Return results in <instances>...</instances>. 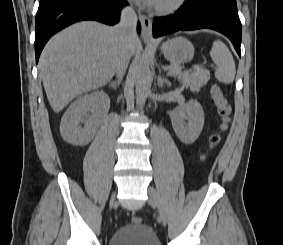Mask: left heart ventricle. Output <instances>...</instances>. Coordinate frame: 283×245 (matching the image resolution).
Returning <instances> with one entry per match:
<instances>
[{
  "label": "left heart ventricle",
  "instance_id": "obj_1",
  "mask_svg": "<svg viewBox=\"0 0 283 245\" xmlns=\"http://www.w3.org/2000/svg\"><path fill=\"white\" fill-rule=\"evenodd\" d=\"M163 1H168V0H157V2H163Z\"/></svg>",
  "mask_w": 283,
  "mask_h": 245
}]
</instances>
